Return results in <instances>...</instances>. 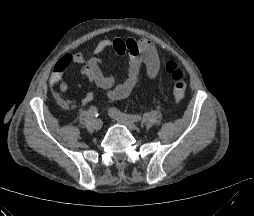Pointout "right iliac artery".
<instances>
[{
  "mask_svg": "<svg viewBox=\"0 0 254 216\" xmlns=\"http://www.w3.org/2000/svg\"><path fill=\"white\" fill-rule=\"evenodd\" d=\"M89 114L91 117H97L99 115L98 110L95 106L90 107Z\"/></svg>",
  "mask_w": 254,
  "mask_h": 216,
  "instance_id": "obj_1",
  "label": "right iliac artery"
}]
</instances>
